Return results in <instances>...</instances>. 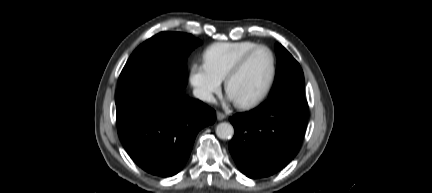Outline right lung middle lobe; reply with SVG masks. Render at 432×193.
Wrapping results in <instances>:
<instances>
[{
	"mask_svg": "<svg viewBox=\"0 0 432 193\" xmlns=\"http://www.w3.org/2000/svg\"><path fill=\"white\" fill-rule=\"evenodd\" d=\"M202 42L190 34L161 32L141 44L130 56L118 80V87L135 80L156 77L180 89L187 85L186 61Z\"/></svg>",
	"mask_w": 432,
	"mask_h": 193,
	"instance_id": "obj_1",
	"label": "right lung middle lobe"
}]
</instances>
